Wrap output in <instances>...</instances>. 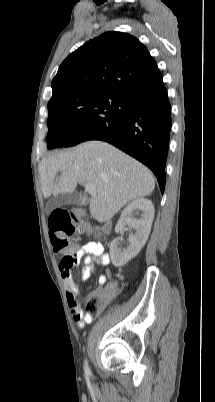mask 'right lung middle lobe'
Masks as SVG:
<instances>
[{"label": "right lung middle lobe", "mask_w": 215, "mask_h": 402, "mask_svg": "<svg viewBox=\"0 0 215 402\" xmlns=\"http://www.w3.org/2000/svg\"><path fill=\"white\" fill-rule=\"evenodd\" d=\"M128 103L126 98L109 94L49 101L48 148L74 146L105 130L126 113Z\"/></svg>", "instance_id": "1"}]
</instances>
